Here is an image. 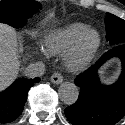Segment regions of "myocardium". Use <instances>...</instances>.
Wrapping results in <instances>:
<instances>
[{"label": "myocardium", "mask_w": 125, "mask_h": 125, "mask_svg": "<svg viewBox=\"0 0 125 125\" xmlns=\"http://www.w3.org/2000/svg\"><path fill=\"white\" fill-rule=\"evenodd\" d=\"M95 34L96 41L85 52H81V45L88 34ZM101 45V36L99 32L93 28L83 31L70 47L64 53V63L66 67L73 71L79 72L84 70L94 59Z\"/></svg>", "instance_id": "obj_1"}]
</instances>
